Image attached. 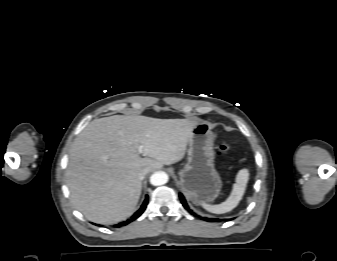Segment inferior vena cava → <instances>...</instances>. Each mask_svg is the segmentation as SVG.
Masks as SVG:
<instances>
[{
  "mask_svg": "<svg viewBox=\"0 0 337 261\" xmlns=\"http://www.w3.org/2000/svg\"><path fill=\"white\" fill-rule=\"evenodd\" d=\"M149 172L148 169H143L142 171H140L139 173V179L143 180L145 178V175Z\"/></svg>",
  "mask_w": 337,
  "mask_h": 261,
  "instance_id": "inferior-vena-cava-1",
  "label": "inferior vena cava"
}]
</instances>
